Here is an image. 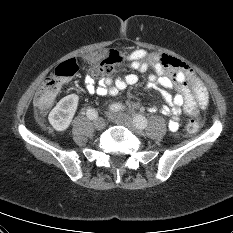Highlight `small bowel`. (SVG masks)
<instances>
[{
	"instance_id": "obj_1",
	"label": "small bowel",
	"mask_w": 233,
	"mask_h": 233,
	"mask_svg": "<svg viewBox=\"0 0 233 233\" xmlns=\"http://www.w3.org/2000/svg\"><path fill=\"white\" fill-rule=\"evenodd\" d=\"M127 59L131 68L138 72L153 68L154 74L149 80L154 86L163 89L165 104L161 106V112L171 117L169 128L172 131L179 128L181 113L195 117L199 110L207 108L209 98L206 87L187 63L167 54L148 52L144 49L132 51ZM137 82L136 74H127L117 79L105 76L98 81L89 75L85 79V91L90 96L117 95ZM168 89H173L176 93L171 94ZM150 110H155V107H151Z\"/></svg>"
}]
</instances>
